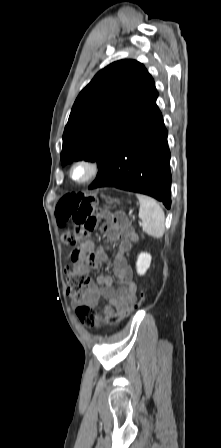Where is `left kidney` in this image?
<instances>
[{
    "instance_id": "1",
    "label": "left kidney",
    "mask_w": 221,
    "mask_h": 448,
    "mask_svg": "<svg viewBox=\"0 0 221 448\" xmlns=\"http://www.w3.org/2000/svg\"><path fill=\"white\" fill-rule=\"evenodd\" d=\"M151 255L147 252H142L138 255L136 262V269L139 275H144L151 264Z\"/></svg>"
}]
</instances>
